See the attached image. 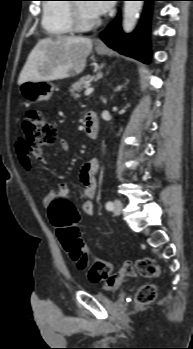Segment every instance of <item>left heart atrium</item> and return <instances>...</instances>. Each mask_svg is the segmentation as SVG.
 Returning a JSON list of instances; mask_svg holds the SVG:
<instances>
[{
  "instance_id": "39dd6f15",
  "label": "left heart atrium",
  "mask_w": 193,
  "mask_h": 349,
  "mask_svg": "<svg viewBox=\"0 0 193 349\" xmlns=\"http://www.w3.org/2000/svg\"><path fill=\"white\" fill-rule=\"evenodd\" d=\"M87 6L95 16L103 15L112 8L110 1H91Z\"/></svg>"
}]
</instances>
